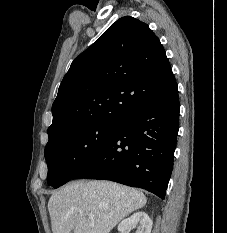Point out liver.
Returning a JSON list of instances; mask_svg holds the SVG:
<instances>
[{"mask_svg": "<svg viewBox=\"0 0 227 233\" xmlns=\"http://www.w3.org/2000/svg\"><path fill=\"white\" fill-rule=\"evenodd\" d=\"M147 202L143 192L109 181H77L48 202L53 233H110ZM94 215V220L87 218Z\"/></svg>", "mask_w": 227, "mask_h": 233, "instance_id": "liver-1", "label": "liver"}]
</instances>
